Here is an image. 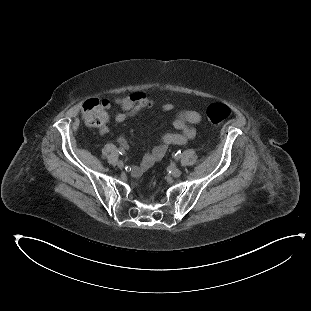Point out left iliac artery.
Returning a JSON list of instances; mask_svg holds the SVG:
<instances>
[{"label": "left iliac artery", "instance_id": "44dca946", "mask_svg": "<svg viewBox=\"0 0 311 311\" xmlns=\"http://www.w3.org/2000/svg\"><path fill=\"white\" fill-rule=\"evenodd\" d=\"M181 157V151H177V153L175 154V158L179 159Z\"/></svg>", "mask_w": 311, "mask_h": 311}]
</instances>
